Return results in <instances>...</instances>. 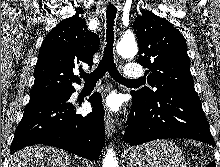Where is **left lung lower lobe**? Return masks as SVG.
I'll list each match as a JSON object with an SVG mask.
<instances>
[{
  "label": "left lung lower lobe",
  "instance_id": "1",
  "mask_svg": "<svg viewBox=\"0 0 220 167\" xmlns=\"http://www.w3.org/2000/svg\"><path fill=\"white\" fill-rule=\"evenodd\" d=\"M131 107L124 141L131 146L157 139L187 138L214 145L197 94L171 89L146 100L131 92Z\"/></svg>",
  "mask_w": 220,
  "mask_h": 167
}]
</instances>
